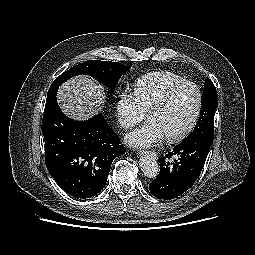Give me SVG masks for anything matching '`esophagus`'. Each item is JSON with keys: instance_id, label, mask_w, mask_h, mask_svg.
Wrapping results in <instances>:
<instances>
[{"instance_id": "1", "label": "esophagus", "mask_w": 255, "mask_h": 255, "mask_svg": "<svg viewBox=\"0 0 255 255\" xmlns=\"http://www.w3.org/2000/svg\"><path fill=\"white\" fill-rule=\"evenodd\" d=\"M140 154L144 155V154H151L152 156H156V152L154 151H149V150H142L140 151Z\"/></svg>"}]
</instances>
